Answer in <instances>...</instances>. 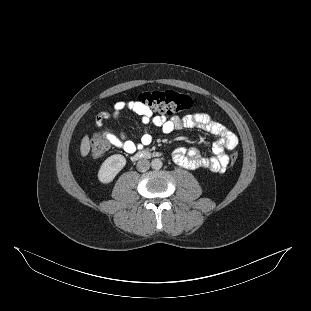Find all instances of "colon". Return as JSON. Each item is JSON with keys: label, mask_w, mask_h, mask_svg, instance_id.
I'll use <instances>...</instances> for the list:
<instances>
[{"label": "colon", "mask_w": 311, "mask_h": 311, "mask_svg": "<svg viewBox=\"0 0 311 311\" xmlns=\"http://www.w3.org/2000/svg\"><path fill=\"white\" fill-rule=\"evenodd\" d=\"M138 99L150 109L167 115H173L189 109L193 105V99L185 94L175 91H146L139 94ZM110 148V142L105 133L98 134L91 144V156L99 158ZM238 159V153L232 150L229 164L233 166Z\"/></svg>", "instance_id": "obj_1"}]
</instances>
